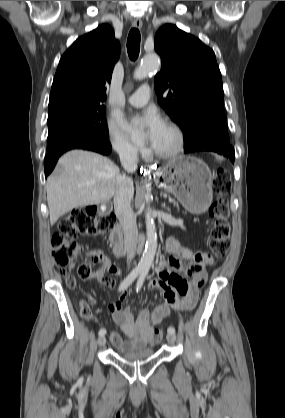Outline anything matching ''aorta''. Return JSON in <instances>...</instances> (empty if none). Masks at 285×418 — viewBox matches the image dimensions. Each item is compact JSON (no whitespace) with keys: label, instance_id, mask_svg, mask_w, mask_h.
Returning <instances> with one entry per match:
<instances>
[{"label":"aorta","instance_id":"obj_1","mask_svg":"<svg viewBox=\"0 0 285 418\" xmlns=\"http://www.w3.org/2000/svg\"><path fill=\"white\" fill-rule=\"evenodd\" d=\"M160 66V58L156 54H148L143 57L140 65L134 72V78L141 80L146 78L150 72L158 70ZM114 118L118 125L129 132L132 138H135L139 135V131L132 129L128 123L125 121L123 114L119 111L114 113ZM150 198L149 194L145 195V200L148 203ZM145 224H146V244L143 251L142 257L138 263V269L144 273H148L152 262L154 260L156 250H157V233L155 228L154 218L151 213L150 206H147L145 214Z\"/></svg>","mask_w":285,"mask_h":418}]
</instances>
